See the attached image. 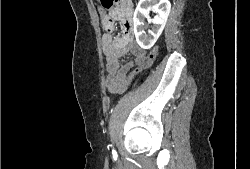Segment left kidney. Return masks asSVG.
<instances>
[{"label":"left kidney","instance_id":"left-kidney-1","mask_svg":"<svg viewBox=\"0 0 250 169\" xmlns=\"http://www.w3.org/2000/svg\"><path fill=\"white\" fill-rule=\"evenodd\" d=\"M155 8L157 12L154 18H150L149 10ZM171 2L169 0H139L133 14L134 34L141 48H151L157 38H159L169 16ZM144 18H149L153 22L154 30H149L150 34H144Z\"/></svg>","mask_w":250,"mask_h":169}]
</instances>
